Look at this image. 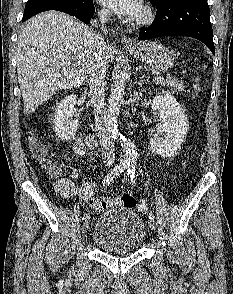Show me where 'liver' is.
Returning <instances> with one entry per match:
<instances>
[{
  "label": "liver",
  "instance_id": "6515ba94",
  "mask_svg": "<svg viewBox=\"0 0 233 294\" xmlns=\"http://www.w3.org/2000/svg\"><path fill=\"white\" fill-rule=\"evenodd\" d=\"M97 34L64 13L44 12L31 18L18 41V82L26 111L30 114L58 90L79 87L87 79ZM115 49H104L107 64Z\"/></svg>",
  "mask_w": 233,
  "mask_h": 294
}]
</instances>
